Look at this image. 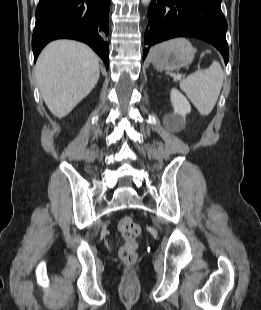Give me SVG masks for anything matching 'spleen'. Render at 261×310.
Returning a JSON list of instances; mask_svg holds the SVG:
<instances>
[{"mask_svg": "<svg viewBox=\"0 0 261 310\" xmlns=\"http://www.w3.org/2000/svg\"><path fill=\"white\" fill-rule=\"evenodd\" d=\"M223 78L220 64L214 61L208 69L196 71L180 81L179 85L199 113L207 116L218 100Z\"/></svg>", "mask_w": 261, "mask_h": 310, "instance_id": "3e777b00", "label": "spleen"}]
</instances>
